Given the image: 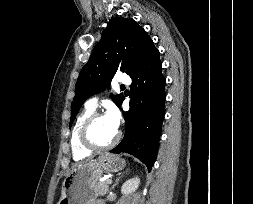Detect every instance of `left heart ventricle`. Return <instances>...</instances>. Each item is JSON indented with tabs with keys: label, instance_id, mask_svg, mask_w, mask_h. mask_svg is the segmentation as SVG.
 I'll return each instance as SVG.
<instances>
[{
	"label": "left heart ventricle",
	"instance_id": "left-heart-ventricle-1",
	"mask_svg": "<svg viewBox=\"0 0 253 204\" xmlns=\"http://www.w3.org/2000/svg\"><path fill=\"white\" fill-rule=\"evenodd\" d=\"M116 133L117 130L110 124L106 116L97 119L90 129V137L98 145L108 144Z\"/></svg>",
	"mask_w": 253,
	"mask_h": 204
}]
</instances>
